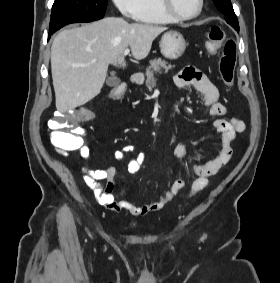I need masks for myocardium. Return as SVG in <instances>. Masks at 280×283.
Returning a JSON list of instances; mask_svg holds the SVG:
<instances>
[{"instance_id": "obj_1", "label": "myocardium", "mask_w": 280, "mask_h": 283, "mask_svg": "<svg viewBox=\"0 0 280 283\" xmlns=\"http://www.w3.org/2000/svg\"><path fill=\"white\" fill-rule=\"evenodd\" d=\"M160 5L162 10L171 18L176 21H187L197 18L203 11L204 8V0H199V6L197 11L192 15H182L178 13L173 5L171 0H160Z\"/></svg>"}]
</instances>
